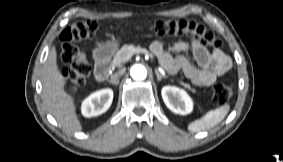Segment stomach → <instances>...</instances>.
Instances as JSON below:
<instances>
[{"label":"stomach","mask_w":283,"mask_h":162,"mask_svg":"<svg viewBox=\"0 0 283 162\" xmlns=\"http://www.w3.org/2000/svg\"><path fill=\"white\" fill-rule=\"evenodd\" d=\"M118 46L119 42L117 40L109 41L102 45L99 50L103 56H110L118 49Z\"/></svg>","instance_id":"stomach-1"}]
</instances>
